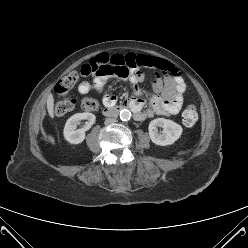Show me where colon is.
<instances>
[{"instance_id":"obj_1","label":"colon","mask_w":248,"mask_h":248,"mask_svg":"<svg viewBox=\"0 0 248 248\" xmlns=\"http://www.w3.org/2000/svg\"><path fill=\"white\" fill-rule=\"evenodd\" d=\"M120 63L116 56L102 55L92 58L83 65L85 71L82 75L98 73H113L120 77H127L128 70ZM79 74L71 72L62 77L55 86V92L59 100L55 104V114L58 117L69 113L74 107V101L68 96L69 91L79 81ZM82 108L85 111H95L98 109V102L93 98H85L82 101ZM198 120V114L194 105L189 104L182 113V123L186 127H192Z\"/></svg>"}]
</instances>
